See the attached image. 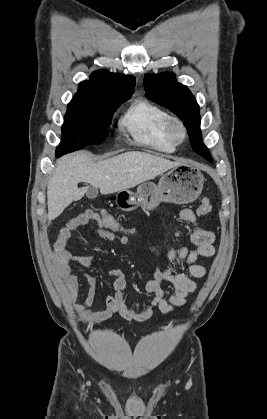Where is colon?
<instances>
[{
  "label": "colon",
  "mask_w": 267,
  "mask_h": 419,
  "mask_svg": "<svg viewBox=\"0 0 267 419\" xmlns=\"http://www.w3.org/2000/svg\"><path fill=\"white\" fill-rule=\"evenodd\" d=\"M211 203L208 199H204L197 209L199 216H204L211 211ZM101 225L107 230L114 233L123 244L133 243L134 230L123 226L117 219L106 211L99 213Z\"/></svg>",
  "instance_id": "1"
}]
</instances>
